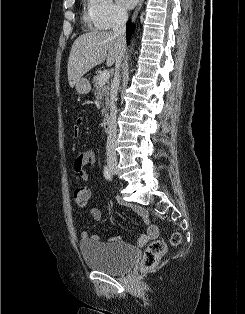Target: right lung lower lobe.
I'll return each instance as SVG.
<instances>
[{
	"instance_id": "1",
	"label": "right lung lower lobe",
	"mask_w": 245,
	"mask_h": 314,
	"mask_svg": "<svg viewBox=\"0 0 245 314\" xmlns=\"http://www.w3.org/2000/svg\"><path fill=\"white\" fill-rule=\"evenodd\" d=\"M127 43H129L130 41V34L133 32L134 30V26L131 25L130 21L127 23Z\"/></svg>"
}]
</instances>
